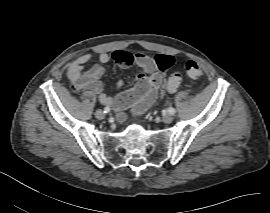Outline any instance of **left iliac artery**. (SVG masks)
<instances>
[{
    "mask_svg": "<svg viewBox=\"0 0 270 213\" xmlns=\"http://www.w3.org/2000/svg\"><path fill=\"white\" fill-rule=\"evenodd\" d=\"M168 112H169V114L174 115L175 112H176V110H175L173 107H170V108L168 109Z\"/></svg>",
    "mask_w": 270,
    "mask_h": 213,
    "instance_id": "1",
    "label": "left iliac artery"
}]
</instances>
